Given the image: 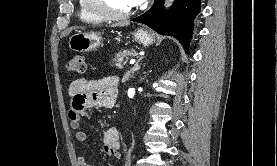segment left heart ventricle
Wrapping results in <instances>:
<instances>
[{
  "label": "left heart ventricle",
  "mask_w": 277,
  "mask_h": 166,
  "mask_svg": "<svg viewBox=\"0 0 277 166\" xmlns=\"http://www.w3.org/2000/svg\"><path fill=\"white\" fill-rule=\"evenodd\" d=\"M100 8L114 14L125 13L132 9L131 0H93Z\"/></svg>",
  "instance_id": "1"
}]
</instances>
